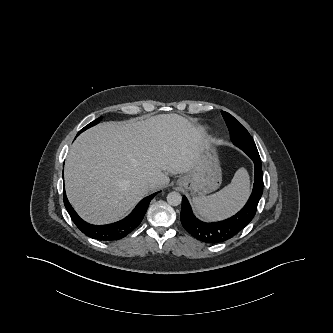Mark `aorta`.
Masks as SVG:
<instances>
[{
    "label": "aorta",
    "mask_w": 333,
    "mask_h": 333,
    "mask_svg": "<svg viewBox=\"0 0 333 333\" xmlns=\"http://www.w3.org/2000/svg\"><path fill=\"white\" fill-rule=\"evenodd\" d=\"M182 201V196L180 193L178 192H170L167 195V202L172 205V206H177L181 203Z\"/></svg>",
    "instance_id": "aorta-1"
}]
</instances>
